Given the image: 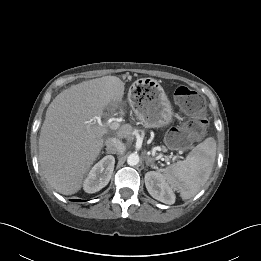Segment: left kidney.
Segmentation results:
<instances>
[{"instance_id":"left-kidney-1","label":"left kidney","mask_w":261,"mask_h":261,"mask_svg":"<svg viewBox=\"0 0 261 261\" xmlns=\"http://www.w3.org/2000/svg\"><path fill=\"white\" fill-rule=\"evenodd\" d=\"M145 185L149 194L156 200L169 205L175 203V194L161 173L147 172L145 174Z\"/></svg>"}]
</instances>
